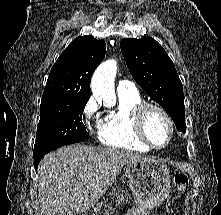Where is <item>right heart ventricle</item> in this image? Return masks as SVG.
Returning a JSON list of instances; mask_svg holds the SVG:
<instances>
[{"mask_svg":"<svg viewBox=\"0 0 221 215\" xmlns=\"http://www.w3.org/2000/svg\"><path fill=\"white\" fill-rule=\"evenodd\" d=\"M118 107L109 112L102 122L99 139L107 146L133 152H148L150 147L136 135L133 125V110L143 102L139 92L118 93Z\"/></svg>","mask_w":221,"mask_h":215,"instance_id":"right-heart-ventricle-1","label":"right heart ventricle"}]
</instances>
